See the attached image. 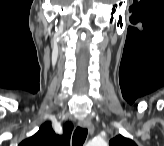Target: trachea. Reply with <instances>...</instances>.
<instances>
[{"label": "trachea", "instance_id": "1", "mask_svg": "<svg viewBox=\"0 0 164 146\" xmlns=\"http://www.w3.org/2000/svg\"><path fill=\"white\" fill-rule=\"evenodd\" d=\"M87 133L88 131L86 128L77 127L73 134L72 145L82 146L86 140Z\"/></svg>", "mask_w": 164, "mask_h": 146}]
</instances>
